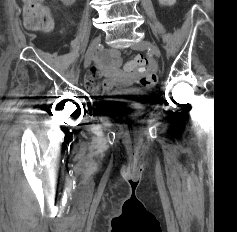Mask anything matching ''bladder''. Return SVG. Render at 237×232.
<instances>
[{"label":"bladder","mask_w":237,"mask_h":232,"mask_svg":"<svg viewBox=\"0 0 237 232\" xmlns=\"http://www.w3.org/2000/svg\"><path fill=\"white\" fill-rule=\"evenodd\" d=\"M129 90H115L113 98L103 99L98 102L100 108L108 115L117 117H132L139 110L136 101L125 98L131 96Z\"/></svg>","instance_id":"31cf9c89"}]
</instances>
